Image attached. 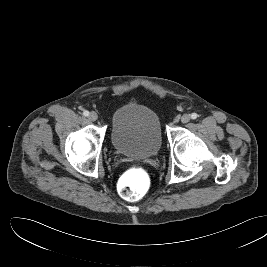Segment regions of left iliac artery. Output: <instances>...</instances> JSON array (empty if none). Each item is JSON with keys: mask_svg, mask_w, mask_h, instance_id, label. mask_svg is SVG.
Returning a JSON list of instances; mask_svg holds the SVG:
<instances>
[{"mask_svg": "<svg viewBox=\"0 0 267 267\" xmlns=\"http://www.w3.org/2000/svg\"><path fill=\"white\" fill-rule=\"evenodd\" d=\"M197 117H198V115H197L196 113H192V114H191V118H192V119H196Z\"/></svg>", "mask_w": 267, "mask_h": 267, "instance_id": "1", "label": "left iliac artery"}]
</instances>
